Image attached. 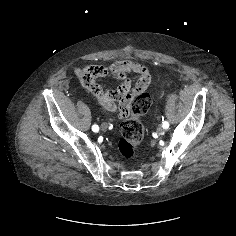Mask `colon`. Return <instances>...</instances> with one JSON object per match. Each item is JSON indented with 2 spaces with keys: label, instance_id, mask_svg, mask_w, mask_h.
I'll list each match as a JSON object with an SVG mask.
<instances>
[{
  "label": "colon",
  "instance_id": "colon-1",
  "mask_svg": "<svg viewBox=\"0 0 236 236\" xmlns=\"http://www.w3.org/2000/svg\"><path fill=\"white\" fill-rule=\"evenodd\" d=\"M148 86H146L145 91L140 94L137 100L129 106L128 113L121 116L125 119L121 123V138L118 141L117 147L119 153L125 159H132L135 156L137 146L144 136L141 117L150 106V96L147 92Z\"/></svg>",
  "mask_w": 236,
  "mask_h": 236
}]
</instances>
